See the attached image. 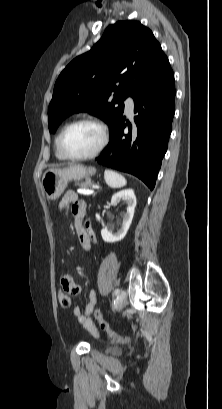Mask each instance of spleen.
Segmentation results:
<instances>
[{
    "label": "spleen",
    "instance_id": "obj_1",
    "mask_svg": "<svg viewBox=\"0 0 222 409\" xmlns=\"http://www.w3.org/2000/svg\"><path fill=\"white\" fill-rule=\"evenodd\" d=\"M104 178L107 185L111 188H121L126 185V179L119 173L112 170H105Z\"/></svg>",
    "mask_w": 222,
    "mask_h": 409
}]
</instances>
